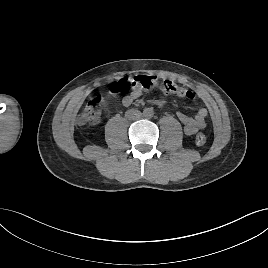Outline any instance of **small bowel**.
Instances as JSON below:
<instances>
[{
    "label": "small bowel",
    "instance_id": "small-bowel-1",
    "mask_svg": "<svg viewBox=\"0 0 268 268\" xmlns=\"http://www.w3.org/2000/svg\"><path fill=\"white\" fill-rule=\"evenodd\" d=\"M141 95L142 90L134 88L122 98V104L125 107H128ZM207 115L208 111L205 108H200L194 117H189L182 113H178L177 117L179 121L183 124L184 133L188 136H191L206 127Z\"/></svg>",
    "mask_w": 268,
    "mask_h": 268
}]
</instances>
